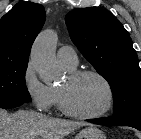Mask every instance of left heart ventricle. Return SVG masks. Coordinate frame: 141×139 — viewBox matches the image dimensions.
<instances>
[{
  "instance_id": "left-heart-ventricle-1",
  "label": "left heart ventricle",
  "mask_w": 141,
  "mask_h": 139,
  "mask_svg": "<svg viewBox=\"0 0 141 139\" xmlns=\"http://www.w3.org/2000/svg\"><path fill=\"white\" fill-rule=\"evenodd\" d=\"M59 87L66 89L71 107L80 113L95 114L106 106L107 90L94 76H85L74 82H70L66 77Z\"/></svg>"
}]
</instances>
